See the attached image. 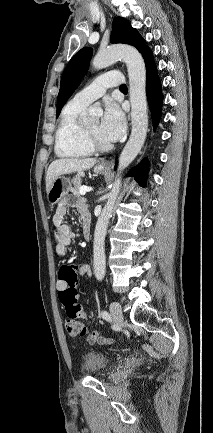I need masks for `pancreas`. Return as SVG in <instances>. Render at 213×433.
Instances as JSON below:
<instances>
[{
  "label": "pancreas",
  "mask_w": 213,
  "mask_h": 433,
  "mask_svg": "<svg viewBox=\"0 0 213 433\" xmlns=\"http://www.w3.org/2000/svg\"><path fill=\"white\" fill-rule=\"evenodd\" d=\"M72 184L73 187H70V191L76 195V196H80V192L79 189L81 187V177L80 176H76L72 179Z\"/></svg>",
  "instance_id": "cf45deb5"
}]
</instances>
